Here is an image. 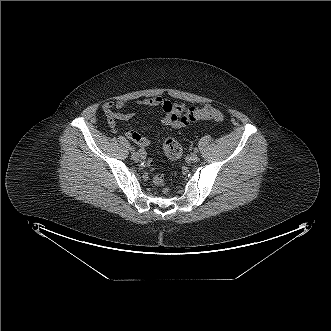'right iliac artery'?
<instances>
[{"label": "right iliac artery", "instance_id": "1", "mask_svg": "<svg viewBox=\"0 0 331 331\" xmlns=\"http://www.w3.org/2000/svg\"><path fill=\"white\" fill-rule=\"evenodd\" d=\"M130 150H131L133 153H136V152H137V149L134 148V147H131Z\"/></svg>", "mask_w": 331, "mask_h": 331}]
</instances>
